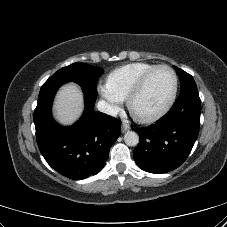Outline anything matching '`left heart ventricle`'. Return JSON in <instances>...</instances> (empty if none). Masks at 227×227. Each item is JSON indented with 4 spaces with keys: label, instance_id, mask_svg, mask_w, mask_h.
I'll list each match as a JSON object with an SVG mask.
<instances>
[{
    "label": "left heart ventricle",
    "instance_id": "obj_1",
    "mask_svg": "<svg viewBox=\"0 0 227 227\" xmlns=\"http://www.w3.org/2000/svg\"><path fill=\"white\" fill-rule=\"evenodd\" d=\"M174 86V77L170 70L159 69L147 81L144 89L136 97L134 111L148 116L159 111L168 101Z\"/></svg>",
    "mask_w": 227,
    "mask_h": 227
}]
</instances>
